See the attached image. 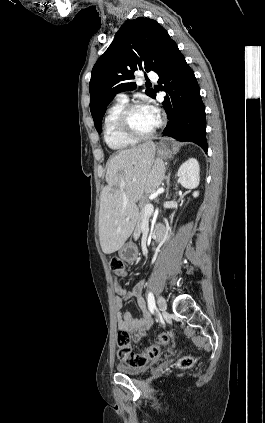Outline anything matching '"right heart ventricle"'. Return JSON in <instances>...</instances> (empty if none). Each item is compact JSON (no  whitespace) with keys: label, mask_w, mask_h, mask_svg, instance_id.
Returning <instances> with one entry per match:
<instances>
[{"label":"right heart ventricle","mask_w":265,"mask_h":423,"mask_svg":"<svg viewBox=\"0 0 265 423\" xmlns=\"http://www.w3.org/2000/svg\"><path fill=\"white\" fill-rule=\"evenodd\" d=\"M126 105V101H117L109 107L104 117L103 136L106 144L114 151H123L137 144V141L129 139L121 134L117 126L119 113Z\"/></svg>","instance_id":"1"}]
</instances>
